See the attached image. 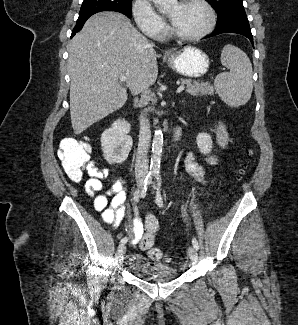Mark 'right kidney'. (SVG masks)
Wrapping results in <instances>:
<instances>
[{
  "mask_svg": "<svg viewBox=\"0 0 298 325\" xmlns=\"http://www.w3.org/2000/svg\"><path fill=\"white\" fill-rule=\"evenodd\" d=\"M130 130L131 124L124 118H117L110 128L103 130L100 138L102 152L109 165L124 163L126 160L133 144Z\"/></svg>",
  "mask_w": 298,
  "mask_h": 325,
  "instance_id": "1",
  "label": "right kidney"
}]
</instances>
